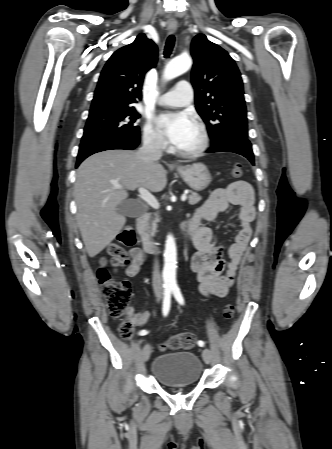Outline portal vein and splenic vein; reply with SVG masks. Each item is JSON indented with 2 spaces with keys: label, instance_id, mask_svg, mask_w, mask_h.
I'll use <instances>...</instances> for the list:
<instances>
[{
  "label": "portal vein and splenic vein",
  "instance_id": "18ae733b",
  "mask_svg": "<svg viewBox=\"0 0 332 449\" xmlns=\"http://www.w3.org/2000/svg\"><path fill=\"white\" fill-rule=\"evenodd\" d=\"M114 188L115 189H121L122 186L117 184V183H114ZM138 191H139V194H140L139 195L140 198L143 199L149 206H151L154 209H158L159 208V203H158L157 199L148 190H146L143 187H140L138 189ZM186 199H187V195L183 194L182 197H181V200L185 201Z\"/></svg>",
  "mask_w": 332,
  "mask_h": 449
}]
</instances>
